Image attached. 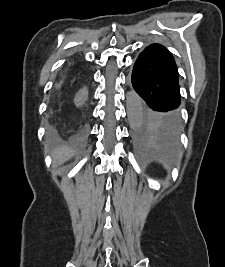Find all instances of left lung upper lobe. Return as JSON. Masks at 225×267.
<instances>
[{
	"label": "left lung upper lobe",
	"instance_id": "left-lung-upper-lobe-1",
	"mask_svg": "<svg viewBox=\"0 0 225 267\" xmlns=\"http://www.w3.org/2000/svg\"><path fill=\"white\" fill-rule=\"evenodd\" d=\"M139 129L142 133L158 134L170 138H174L178 134L173 127L154 119L151 112L144 105H142Z\"/></svg>",
	"mask_w": 225,
	"mask_h": 267
}]
</instances>
